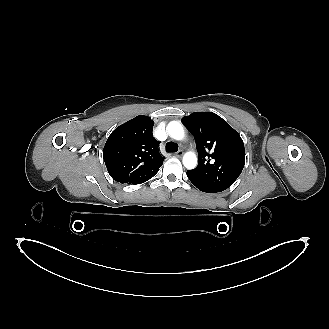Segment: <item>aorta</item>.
Segmentation results:
<instances>
[{"label":"aorta","mask_w":329,"mask_h":329,"mask_svg":"<svg viewBox=\"0 0 329 329\" xmlns=\"http://www.w3.org/2000/svg\"><path fill=\"white\" fill-rule=\"evenodd\" d=\"M169 136L175 140L181 141L185 138L184 128L181 123L177 121H171L166 127ZM183 165L187 169H194L197 166V156L194 152H187L183 156Z\"/></svg>","instance_id":"obj_1"}]
</instances>
